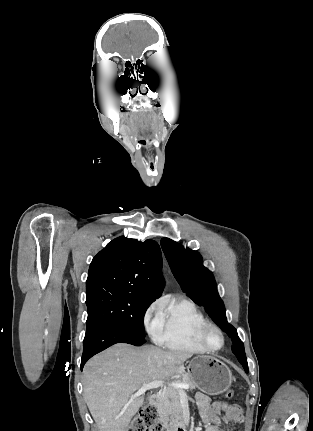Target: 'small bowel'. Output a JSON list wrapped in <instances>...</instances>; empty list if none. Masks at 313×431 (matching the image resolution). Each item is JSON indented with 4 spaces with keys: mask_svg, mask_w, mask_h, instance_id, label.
<instances>
[{
    "mask_svg": "<svg viewBox=\"0 0 313 431\" xmlns=\"http://www.w3.org/2000/svg\"><path fill=\"white\" fill-rule=\"evenodd\" d=\"M196 403L204 424V431H222L220 428L222 423H239L243 420L240 407L220 401L211 404L210 398L204 393L196 394ZM220 413H223V416H220Z\"/></svg>",
    "mask_w": 313,
    "mask_h": 431,
    "instance_id": "small-bowel-1",
    "label": "small bowel"
}]
</instances>
